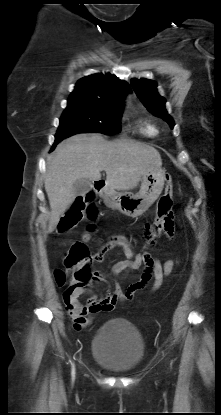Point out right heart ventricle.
Segmentation results:
<instances>
[{
  "mask_svg": "<svg viewBox=\"0 0 221 415\" xmlns=\"http://www.w3.org/2000/svg\"><path fill=\"white\" fill-rule=\"evenodd\" d=\"M141 131L148 135V136H154L158 133L157 128L155 127V125L149 123V122H144L141 128Z\"/></svg>",
  "mask_w": 221,
  "mask_h": 415,
  "instance_id": "obj_1",
  "label": "right heart ventricle"
}]
</instances>
